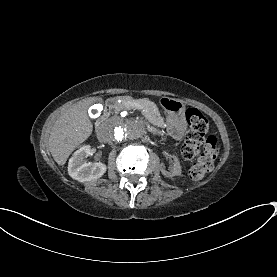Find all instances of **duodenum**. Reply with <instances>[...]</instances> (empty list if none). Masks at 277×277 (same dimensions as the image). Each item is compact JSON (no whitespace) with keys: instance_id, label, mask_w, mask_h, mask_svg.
<instances>
[{"instance_id":"410a0bca","label":"duodenum","mask_w":277,"mask_h":277,"mask_svg":"<svg viewBox=\"0 0 277 277\" xmlns=\"http://www.w3.org/2000/svg\"><path fill=\"white\" fill-rule=\"evenodd\" d=\"M117 100H118V97H111L106 101V104H105V107H104V110H103V114H102V117H101V121L98 122L97 128L101 127L102 120H104L106 117H108V115L111 113V111H112L114 105L116 104Z\"/></svg>"}]
</instances>
